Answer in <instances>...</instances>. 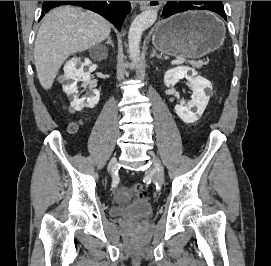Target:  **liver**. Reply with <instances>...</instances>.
<instances>
[{
  "label": "liver",
  "mask_w": 271,
  "mask_h": 266,
  "mask_svg": "<svg viewBox=\"0 0 271 266\" xmlns=\"http://www.w3.org/2000/svg\"><path fill=\"white\" fill-rule=\"evenodd\" d=\"M110 32V23L89 10L62 6L49 12L40 26L34 48L41 86L50 89L69 56L103 42Z\"/></svg>",
  "instance_id": "6515ba94"
}]
</instances>
